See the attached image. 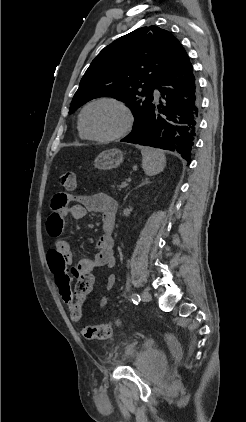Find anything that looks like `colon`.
<instances>
[{
	"label": "colon",
	"instance_id": "5ec220e1",
	"mask_svg": "<svg viewBox=\"0 0 246 422\" xmlns=\"http://www.w3.org/2000/svg\"><path fill=\"white\" fill-rule=\"evenodd\" d=\"M58 183L67 191L74 190L76 187L75 173L71 171L62 173L58 178ZM47 261L54 275L60 297L69 310L70 319L79 323L82 319L83 304L93 288V273H85L76 277L77 281L72 290V271L65 257L56 249H51L47 254ZM81 332L87 339L107 340L112 336V325L104 323L94 326H83ZM165 339L173 353L178 355L180 348L177 339L169 333L165 334Z\"/></svg>",
	"mask_w": 246,
	"mask_h": 422
}]
</instances>
